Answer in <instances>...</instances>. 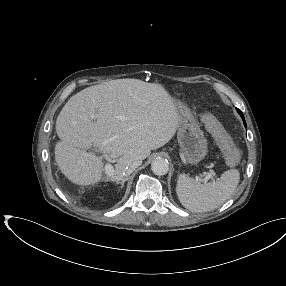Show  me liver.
Wrapping results in <instances>:
<instances>
[{
  "mask_svg": "<svg viewBox=\"0 0 286 286\" xmlns=\"http://www.w3.org/2000/svg\"><path fill=\"white\" fill-rule=\"evenodd\" d=\"M175 100L161 84L116 79L87 87L73 95L56 119L61 141L55 161L72 183L93 185L102 179L103 162L86 149L94 146L106 158H118L111 181L118 182L127 161L146 159L151 150L176 133Z\"/></svg>",
  "mask_w": 286,
  "mask_h": 286,
  "instance_id": "6515ba94",
  "label": "liver"
}]
</instances>
